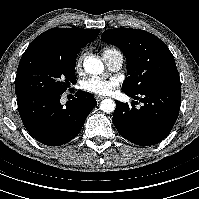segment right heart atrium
<instances>
[{
  "label": "right heart atrium",
  "mask_w": 199,
  "mask_h": 199,
  "mask_svg": "<svg viewBox=\"0 0 199 199\" xmlns=\"http://www.w3.org/2000/svg\"><path fill=\"white\" fill-rule=\"evenodd\" d=\"M86 57V53H82L77 59H76V62H75V69L77 71H80L82 69V66H83V61Z\"/></svg>",
  "instance_id": "obj_1"
}]
</instances>
